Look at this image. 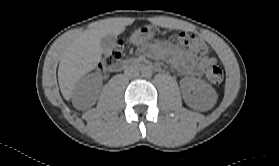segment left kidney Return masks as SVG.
Returning a JSON list of instances; mask_svg holds the SVG:
<instances>
[{"mask_svg": "<svg viewBox=\"0 0 279 166\" xmlns=\"http://www.w3.org/2000/svg\"><path fill=\"white\" fill-rule=\"evenodd\" d=\"M181 87L184 102L193 109L210 107L215 103L216 91L201 79L184 78Z\"/></svg>", "mask_w": 279, "mask_h": 166, "instance_id": "1", "label": "left kidney"}]
</instances>
